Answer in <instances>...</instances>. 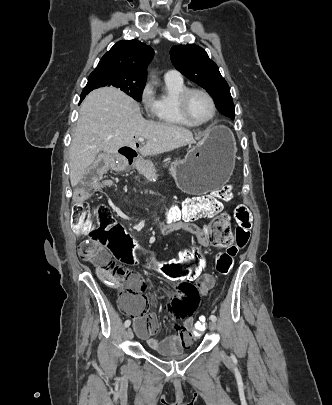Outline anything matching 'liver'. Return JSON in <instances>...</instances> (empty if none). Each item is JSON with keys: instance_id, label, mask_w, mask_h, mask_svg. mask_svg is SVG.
Wrapping results in <instances>:
<instances>
[{"instance_id": "obj_1", "label": "liver", "mask_w": 332, "mask_h": 405, "mask_svg": "<svg viewBox=\"0 0 332 405\" xmlns=\"http://www.w3.org/2000/svg\"><path fill=\"white\" fill-rule=\"evenodd\" d=\"M145 138L139 148L142 156H155L182 146L194 144L193 133L170 123L146 121L139 105L114 87L92 91L83 101L69 149L70 182L76 186L96 156L111 154L123 146H135L134 138ZM196 139H200L196 135Z\"/></svg>"}]
</instances>
